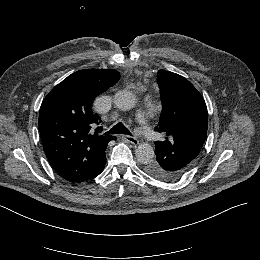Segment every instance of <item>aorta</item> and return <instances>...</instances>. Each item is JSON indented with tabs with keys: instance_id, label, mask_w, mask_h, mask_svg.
Returning <instances> with one entry per match:
<instances>
[{
	"instance_id": "obj_1",
	"label": "aorta",
	"mask_w": 260,
	"mask_h": 260,
	"mask_svg": "<svg viewBox=\"0 0 260 260\" xmlns=\"http://www.w3.org/2000/svg\"><path fill=\"white\" fill-rule=\"evenodd\" d=\"M115 106L122 110L127 111L134 108L137 104L135 95L128 90L118 91L114 96ZM136 159L141 164H149L153 161L155 152L153 147L148 143H141L135 150Z\"/></svg>"
}]
</instances>
